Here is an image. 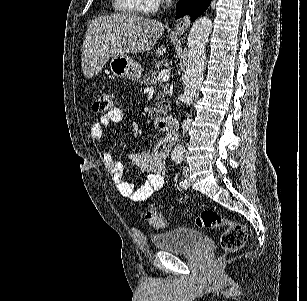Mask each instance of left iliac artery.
Here are the masks:
<instances>
[{
  "label": "left iliac artery",
  "instance_id": "44dca946",
  "mask_svg": "<svg viewBox=\"0 0 307 301\" xmlns=\"http://www.w3.org/2000/svg\"><path fill=\"white\" fill-rule=\"evenodd\" d=\"M175 161H176L177 164H180L181 161H182V159H181V158H177ZM180 185H181L183 188H186L187 180L181 181V182H180Z\"/></svg>",
  "mask_w": 307,
  "mask_h": 301
}]
</instances>
